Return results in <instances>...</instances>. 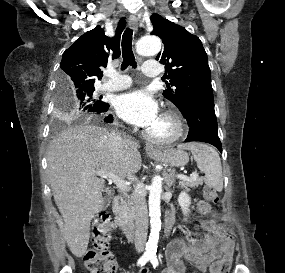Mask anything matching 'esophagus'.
I'll use <instances>...</instances> for the list:
<instances>
[{"mask_svg":"<svg viewBox=\"0 0 285 273\" xmlns=\"http://www.w3.org/2000/svg\"><path fill=\"white\" fill-rule=\"evenodd\" d=\"M128 23H129V26L135 30L138 29V19L136 18L135 15H130L129 16V19H128ZM145 149L147 152L149 153H155V152H158V150L150 143H146L145 144Z\"/></svg>","mask_w":285,"mask_h":273,"instance_id":"1","label":"esophagus"}]
</instances>
